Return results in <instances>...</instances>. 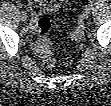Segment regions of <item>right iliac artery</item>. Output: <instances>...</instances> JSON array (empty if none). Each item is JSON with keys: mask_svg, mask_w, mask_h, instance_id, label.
I'll return each mask as SVG.
<instances>
[{"mask_svg": "<svg viewBox=\"0 0 111 106\" xmlns=\"http://www.w3.org/2000/svg\"><path fill=\"white\" fill-rule=\"evenodd\" d=\"M19 8H20V14H21V15H25V16H26V12H25V10H24V9H22V7H21V6H19Z\"/></svg>", "mask_w": 111, "mask_h": 106, "instance_id": "right-iliac-artery-1", "label": "right iliac artery"}]
</instances>
